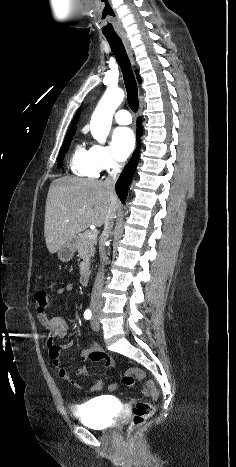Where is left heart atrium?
I'll return each instance as SVG.
<instances>
[{"instance_id":"obj_1","label":"left heart atrium","mask_w":236,"mask_h":467,"mask_svg":"<svg viewBox=\"0 0 236 467\" xmlns=\"http://www.w3.org/2000/svg\"><path fill=\"white\" fill-rule=\"evenodd\" d=\"M112 144L116 158L125 160L132 152L135 139L133 131L128 127H118L112 134Z\"/></svg>"}]
</instances>
